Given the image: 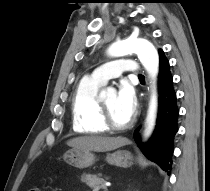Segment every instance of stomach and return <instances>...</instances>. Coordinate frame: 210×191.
Masks as SVG:
<instances>
[{"label": "stomach", "mask_w": 210, "mask_h": 191, "mask_svg": "<svg viewBox=\"0 0 210 191\" xmlns=\"http://www.w3.org/2000/svg\"><path fill=\"white\" fill-rule=\"evenodd\" d=\"M95 155L88 150L72 149L64 154V160L77 168L83 169L90 167L95 162ZM106 161L110 165L128 168L133 165L134 158L128 151L118 150L114 153L107 154Z\"/></svg>", "instance_id": "stomach-1"}]
</instances>
